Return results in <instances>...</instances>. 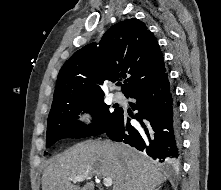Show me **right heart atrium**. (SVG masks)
<instances>
[{
  "label": "right heart atrium",
  "instance_id": "d8ad5b80",
  "mask_svg": "<svg viewBox=\"0 0 221 190\" xmlns=\"http://www.w3.org/2000/svg\"><path fill=\"white\" fill-rule=\"evenodd\" d=\"M78 122L82 128L88 129L95 125L96 114L91 108L85 107L78 112Z\"/></svg>",
  "mask_w": 221,
  "mask_h": 190
}]
</instances>
